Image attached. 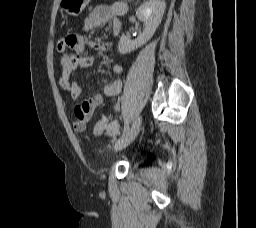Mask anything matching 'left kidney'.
I'll list each match as a JSON object with an SVG mask.
<instances>
[{
	"label": "left kidney",
	"instance_id": "obj_1",
	"mask_svg": "<svg viewBox=\"0 0 256 228\" xmlns=\"http://www.w3.org/2000/svg\"><path fill=\"white\" fill-rule=\"evenodd\" d=\"M165 8L166 4L163 0H149L140 5L136 16L144 23L143 33L135 40H131L123 34L118 43L120 54L130 53L151 39L161 23Z\"/></svg>",
	"mask_w": 256,
	"mask_h": 228
}]
</instances>
